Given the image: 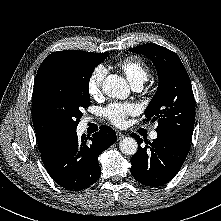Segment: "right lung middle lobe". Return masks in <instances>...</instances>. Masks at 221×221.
Listing matches in <instances>:
<instances>
[{
    "instance_id": "right-lung-middle-lobe-1",
    "label": "right lung middle lobe",
    "mask_w": 221,
    "mask_h": 221,
    "mask_svg": "<svg viewBox=\"0 0 221 221\" xmlns=\"http://www.w3.org/2000/svg\"><path fill=\"white\" fill-rule=\"evenodd\" d=\"M108 55L66 58L37 73L32 98L42 114L65 133L77 128L81 111L90 105L89 79Z\"/></svg>"
}]
</instances>
